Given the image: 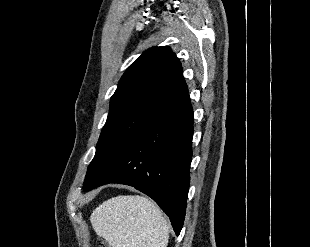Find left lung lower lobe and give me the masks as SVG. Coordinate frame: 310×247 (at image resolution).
I'll return each instance as SVG.
<instances>
[{"mask_svg":"<svg viewBox=\"0 0 310 247\" xmlns=\"http://www.w3.org/2000/svg\"><path fill=\"white\" fill-rule=\"evenodd\" d=\"M192 137L193 109L187 94L150 124L91 188L108 183L135 187L161 207L179 235L190 182Z\"/></svg>","mask_w":310,"mask_h":247,"instance_id":"left-lung-lower-lobe-1","label":"left lung lower lobe"}]
</instances>
